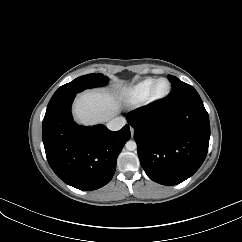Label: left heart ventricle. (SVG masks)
<instances>
[{"instance_id": "obj_1", "label": "left heart ventricle", "mask_w": 242, "mask_h": 242, "mask_svg": "<svg viewBox=\"0 0 242 242\" xmlns=\"http://www.w3.org/2000/svg\"><path fill=\"white\" fill-rule=\"evenodd\" d=\"M168 89V83L166 81H160L156 86V94L162 95L164 94Z\"/></svg>"}]
</instances>
